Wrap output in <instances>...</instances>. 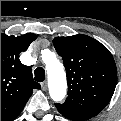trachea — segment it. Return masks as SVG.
Here are the masks:
<instances>
[{"mask_svg": "<svg viewBox=\"0 0 121 121\" xmlns=\"http://www.w3.org/2000/svg\"><path fill=\"white\" fill-rule=\"evenodd\" d=\"M34 79L37 82H42L45 79V71L42 67H38L35 71H34Z\"/></svg>", "mask_w": 121, "mask_h": 121, "instance_id": "trachea-1", "label": "trachea"}]
</instances>
